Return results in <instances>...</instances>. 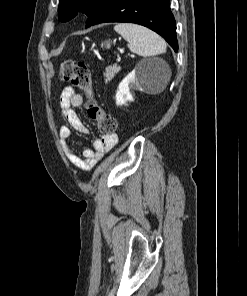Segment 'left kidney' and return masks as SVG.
Returning <instances> with one entry per match:
<instances>
[{
  "mask_svg": "<svg viewBox=\"0 0 247 296\" xmlns=\"http://www.w3.org/2000/svg\"><path fill=\"white\" fill-rule=\"evenodd\" d=\"M151 81H153L151 73L141 65H137L119 84L115 96L116 104L127 105L128 101H133L130 89L145 91Z\"/></svg>",
  "mask_w": 247,
  "mask_h": 296,
  "instance_id": "left-kidney-1",
  "label": "left kidney"
}]
</instances>
